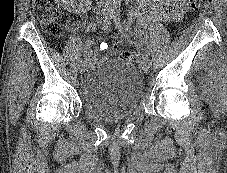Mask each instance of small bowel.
<instances>
[{
  "label": "small bowel",
  "mask_w": 227,
  "mask_h": 173,
  "mask_svg": "<svg viewBox=\"0 0 227 173\" xmlns=\"http://www.w3.org/2000/svg\"><path fill=\"white\" fill-rule=\"evenodd\" d=\"M144 10H135L129 17V24L136 21L134 31L137 36L141 37L149 22L159 21H176L187 8L188 0H143ZM96 24H90L87 27L88 31L96 30ZM93 42L87 40L83 49L85 59L92 63L95 59V53L91 49ZM137 60H141L137 56Z\"/></svg>",
  "instance_id": "1"
}]
</instances>
